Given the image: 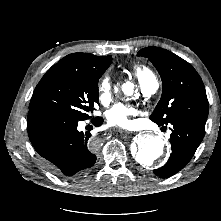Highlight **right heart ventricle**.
Returning a JSON list of instances; mask_svg holds the SVG:
<instances>
[{"mask_svg":"<svg viewBox=\"0 0 221 221\" xmlns=\"http://www.w3.org/2000/svg\"><path fill=\"white\" fill-rule=\"evenodd\" d=\"M132 71L142 86L154 77L153 73L148 68L142 65H134L132 67Z\"/></svg>","mask_w":221,"mask_h":221,"instance_id":"right-heart-ventricle-1","label":"right heart ventricle"}]
</instances>
